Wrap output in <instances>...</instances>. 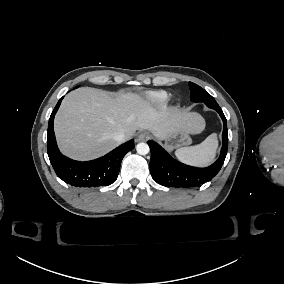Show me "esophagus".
<instances>
[{
    "label": "esophagus",
    "mask_w": 284,
    "mask_h": 284,
    "mask_svg": "<svg viewBox=\"0 0 284 284\" xmlns=\"http://www.w3.org/2000/svg\"><path fill=\"white\" fill-rule=\"evenodd\" d=\"M147 139V134L146 133H141L139 136H138V140L139 141H143V140H146Z\"/></svg>",
    "instance_id": "34e87169"
}]
</instances>
